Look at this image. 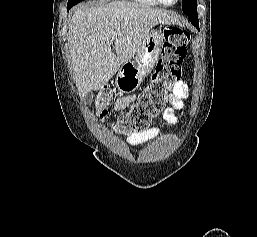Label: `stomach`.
Returning <instances> with one entry per match:
<instances>
[{"mask_svg": "<svg viewBox=\"0 0 257 237\" xmlns=\"http://www.w3.org/2000/svg\"><path fill=\"white\" fill-rule=\"evenodd\" d=\"M163 34L150 30L136 53L134 61L124 63L117 75L116 84L120 92H134L145 76L150 73L161 53Z\"/></svg>", "mask_w": 257, "mask_h": 237, "instance_id": "stomach-1", "label": "stomach"}]
</instances>
